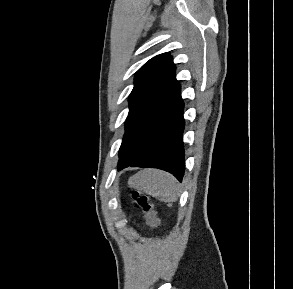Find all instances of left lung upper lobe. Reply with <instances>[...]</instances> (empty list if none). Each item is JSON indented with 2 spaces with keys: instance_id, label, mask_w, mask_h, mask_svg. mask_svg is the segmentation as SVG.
Instances as JSON below:
<instances>
[{
  "instance_id": "5c2ea615",
  "label": "left lung upper lobe",
  "mask_w": 293,
  "mask_h": 289,
  "mask_svg": "<svg viewBox=\"0 0 293 289\" xmlns=\"http://www.w3.org/2000/svg\"><path fill=\"white\" fill-rule=\"evenodd\" d=\"M175 64L169 53L157 55L147 61L136 73L134 88L129 96V114L126 119V131L145 112L155 106L176 85ZM132 157L123 142L119 150L118 166Z\"/></svg>"
}]
</instances>
